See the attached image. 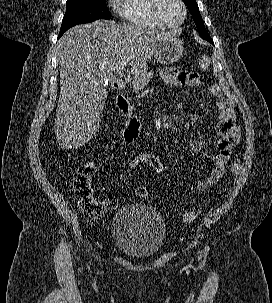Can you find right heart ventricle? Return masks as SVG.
<instances>
[{
  "label": "right heart ventricle",
  "instance_id": "e07e8e85",
  "mask_svg": "<svg viewBox=\"0 0 272 303\" xmlns=\"http://www.w3.org/2000/svg\"><path fill=\"white\" fill-rule=\"evenodd\" d=\"M154 4L155 0H121L120 12L122 18L131 25L162 29L163 26L154 15Z\"/></svg>",
  "mask_w": 272,
  "mask_h": 303
}]
</instances>
